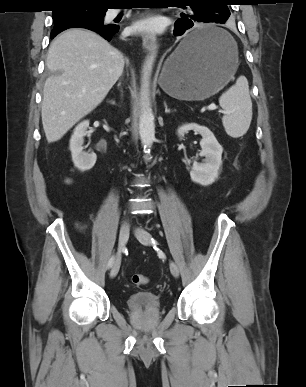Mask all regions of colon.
<instances>
[{"label":"colon","mask_w":306,"mask_h":387,"mask_svg":"<svg viewBox=\"0 0 306 387\" xmlns=\"http://www.w3.org/2000/svg\"><path fill=\"white\" fill-rule=\"evenodd\" d=\"M132 282L136 286H143L148 283V278L143 274H134L132 276Z\"/></svg>","instance_id":"colon-1"}]
</instances>
